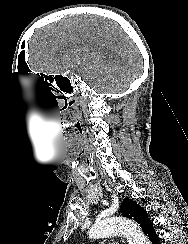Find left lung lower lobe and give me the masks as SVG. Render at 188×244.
<instances>
[{
    "instance_id": "1",
    "label": "left lung lower lobe",
    "mask_w": 188,
    "mask_h": 244,
    "mask_svg": "<svg viewBox=\"0 0 188 244\" xmlns=\"http://www.w3.org/2000/svg\"><path fill=\"white\" fill-rule=\"evenodd\" d=\"M139 225L142 228L144 234L147 236V238L151 242V244H158V242H159L158 235L156 234V231L153 227L152 222L148 218L147 213L143 216Z\"/></svg>"
}]
</instances>
